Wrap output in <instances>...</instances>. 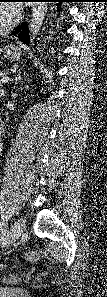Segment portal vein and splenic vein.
Instances as JSON below:
<instances>
[{
    "mask_svg": "<svg viewBox=\"0 0 107 297\" xmlns=\"http://www.w3.org/2000/svg\"><path fill=\"white\" fill-rule=\"evenodd\" d=\"M9 80H10L9 76H5V77L1 78L0 81H1L2 83H7Z\"/></svg>",
    "mask_w": 107,
    "mask_h": 297,
    "instance_id": "1",
    "label": "portal vein and splenic vein"
}]
</instances>
